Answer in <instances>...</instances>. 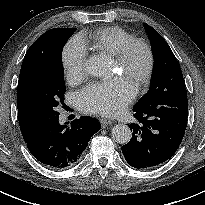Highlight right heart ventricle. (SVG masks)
Returning <instances> with one entry per match:
<instances>
[{
    "mask_svg": "<svg viewBox=\"0 0 205 205\" xmlns=\"http://www.w3.org/2000/svg\"><path fill=\"white\" fill-rule=\"evenodd\" d=\"M133 39L134 36L125 29L112 26L95 31L89 40V44L101 52L116 56Z\"/></svg>",
    "mask_w": 205,
    "mask_h": 205,
    "instance_id": "e07e8e85",
    "label": "right heart ventricle"
}]
</instances>
